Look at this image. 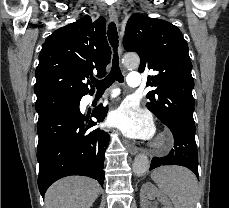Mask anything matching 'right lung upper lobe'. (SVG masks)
<instances>
[{"mask_svg": "<svg viewBox=\"0 0 229 208\" xmlns=\"http://www.w3.org/2000/svg\"><path fill=\"white\" fill-rule=\"evenodd\" d=\"M105 24L103 17L94 23L90 17H82L45 40L35 72L36 102L53 97L81 98L94 92L86 78L96 72L104 76L110 63Z\"/></svg>", "mask_w": 229, "mask_h": 208, "instance_id": "right-lung-upper-lobe-1", "label": "right lung upper lobe"}]
</instances>
